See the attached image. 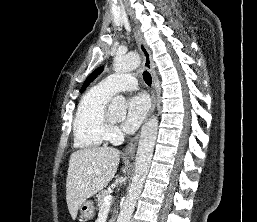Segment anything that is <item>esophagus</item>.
I'll return each mask as SVG.
<instances>
[{
    "label": "esophagus",
    "instance_id": "obj_1",
    "mask_svg": "<svg viewBox=\"0 0 257 222\" xmlns=\"http://www.w3.org/2000/svg\"><path fill=\"white\" fill-rule=\"evenodd\" d=\"M135 37H136L137 44L139 46V50L143 56V65L151 73L152 79H153L152 90H151L152 104H151V109L149 112V115H151L154 112L155 107H156V93H157L154 64L152 61L150 50H149L146 42L142 38L140 32L137 30V28H135ZM138 139H139V133L134 138H132L131 141L129 142V144L126 146L125 151H124V155L126 157H131V158L134 157Z\"/></svg>",
    "mask_w": 257,
    "mask_h": 222
}]
</instances>
